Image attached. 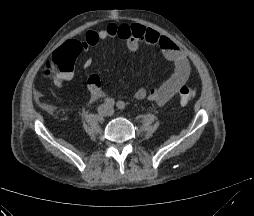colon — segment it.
Here are the masks:
<instances>
[{
	"mask_svg": "<svg viewBox=\"0 0 254 216\" xmlns=\"http://www.w3.org/2000/svg\"><path fill=\"white\" fill-rule=\"evenodd\" d=\"M83 50L79 42L75 43L72 51L59 50L55 57L50 58L43 68V75L48 76L53 73H65L73 70L72 55H77ZM195 96V90L191 86H182L179 89L178 97L182 105L190 102Z\"/></svg>",
	"mask_w": 254,
	"mask_h": 216,
	"instance_id": "colon-1",
	"label": "colon"
}]
</instances>
